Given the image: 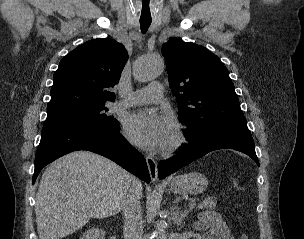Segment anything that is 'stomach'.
Wrapping results in <instances>:
<instances>
[{"mask_svg":"<svg viewBox=\"0 0 304 239\" xmlns=\"http://www.w3.org/2000/svg\"><path fill=\"white\" fill-rule=\"evenodd\" d=\"M208 186L207 178L198 172H190L174 177L170 190L175 194H199Z\"/></svg>","mask_w":304,"mask_h":239,"instance_id":"1","label":"stomach"}]
</instances>
